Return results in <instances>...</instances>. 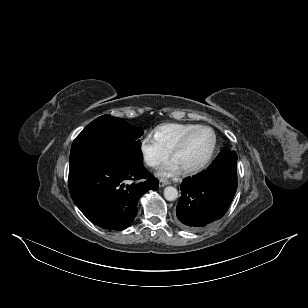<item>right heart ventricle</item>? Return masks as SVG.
<instances>
[{"instance_id": "right-heart-ventricle-1", "label": "right heart ventricle", "mask_w": 308, "mask_h": 308, "mask_svg": "<svg viewBox=\"0 0 308 308\" xmlns=\"http://www.w3.org/2000/svg\"><path fill=\"white\" fill-rule=\"evenodd\" d=\"M190 123H167L156 127L153 136L157 142L169 153L181 138L191 130L199 127Z\"/></svg>"}]
</instances>
